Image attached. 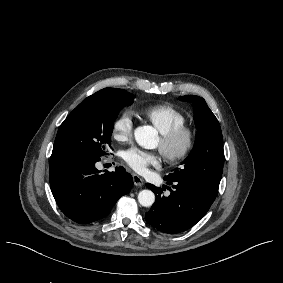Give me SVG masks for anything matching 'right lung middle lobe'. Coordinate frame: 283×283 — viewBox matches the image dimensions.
Wrapping results in <instances>:
<instances>
[{"instance_id":"obj_1","label":"right lung middle lobe","mask_w":283,"mask_h":283,"mask_svg":"<svg viewBox=\"0 0 283 283\" xmlns=\"http://www.w3.org/2000/svg\"><path fill=\"white\" fill-rule=\"evenodd\" d=\"M134 95L113 89L87 97L64 120L57 132L52 156L59 161L107 154L114 121L120 110L133 103Z\"/></svg>"}]
</instances>
